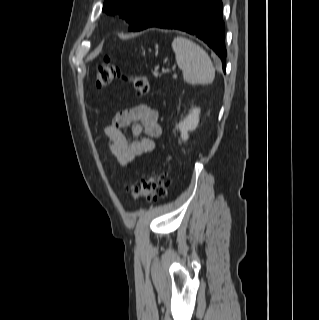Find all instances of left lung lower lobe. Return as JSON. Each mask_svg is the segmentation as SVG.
Returning a JSON list of instances; mask_svg holds the SVG:
<instances>
[{
  "mask_svg": "<svg viewBox=\"0 0 319 320\" xmlns=\"http://www.w3.org/2000/svg\"><path fill=\"white\" fill-rule=\"evenodd\" d=\"M150 27L178 29L196 36L219 56L225 71L227 52L221 0H157L128 30Z\"/></svg>",
  "mask_w": 319,
  "mask_h": 320,
  "instance_id": "left-lung-lower-lobe-1",
  "label": "left lung lower lobe"
}]
</instances>
